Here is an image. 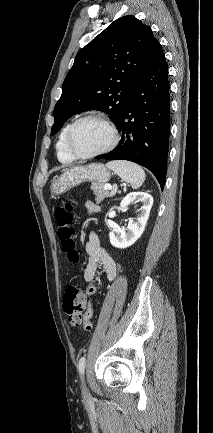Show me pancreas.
Here are the masks:
<instances>
[{
  "mask_svg": "<svg viewBox=\"0 0 213 433\" xmlns=\"http://www.w3.org/2000/svg\"><path fill=\"white\" fill-rule=\"evenodd\" d=\"M94 195H95V201L97 204L101 203L104 198L108 195V192L104 189L103 185L101 184H94L93 185Z\"/></svg>",
  "mask_w": 213,
  "mask_h": 433,
  "instance_id": "obj_1",
  "label": "pancreas"
}]
</instances>
